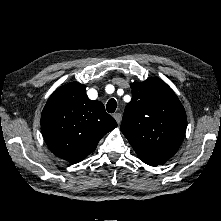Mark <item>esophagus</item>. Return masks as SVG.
Here are the masks:
<instances>
[{
  "instance_id": "obj_1",
  "label": "esophagus",
  "mask_w": 221,
  "mask_h": 221,
  "mask_svg": "<svg viewBox=\"0 0 221 221\" xmlns=\"http://www.w3.org/2000/svg\"><path fill=\"white\" fill-rule=\"evenodd\" d=\"M113 117L115 118L117 124L119 125V124L121 123V120H122V115H121V113H115V114L113 115Z\"/></svg>"
}]
</instances>
